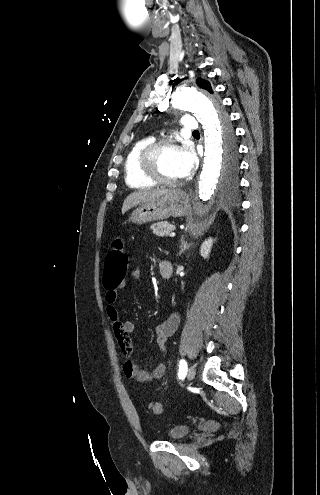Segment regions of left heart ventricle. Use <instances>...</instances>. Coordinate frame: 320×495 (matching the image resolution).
Here are the masks:
<instances>
[{"instance_id":"1","label":"left heart ventricle","mask_w":320,"mask_h":495,"mask_svg":"<svg viewBox=\"0 0 320 495\" xmlns=\"http://www.w3.org/2000/svg\"><path fill=\"white\" fill-rule=\"evenodd\" d=\"M182 149V147H166L159 153L157 167L162 176L174 180L182 178L180 164Z\"/></svg>"}]
</instances>
